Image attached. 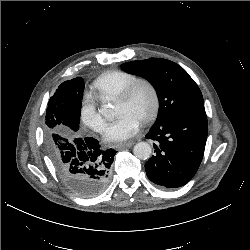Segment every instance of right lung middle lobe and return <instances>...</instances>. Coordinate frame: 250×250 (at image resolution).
I'll return each mask as SVG.
<instances>
[{
	"instance_id": "dd1d6c3e",
	"label": "right lung middle lobe",
	"mask_w": 250,
	"mask_h": 250,
	"mask_svg": "<svg viewBox=\"0 0 250 250\" xmlns=\"http://www.w3.org/2000/svg\"><path fill=\"white\" fill-rule=\"evenodd\" d=\"M83 91L84 81L77 77L63 82L48 102L44 132L51 159L59 154L61 141L72 138L61 127L74 132L79 129Z\"/></svg>"
}]
</instances>
